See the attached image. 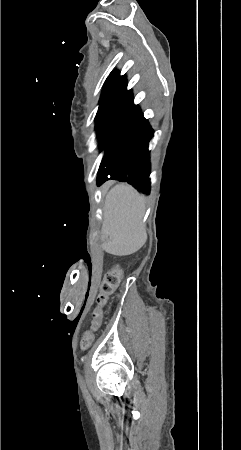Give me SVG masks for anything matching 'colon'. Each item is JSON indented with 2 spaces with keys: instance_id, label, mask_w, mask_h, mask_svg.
I'll use <instances>...</instances> for the list:
<instances>
[{
  "instance_id": "1",
  "label": "colon",
  "mask_w": 241,
  "mask_h": 450,
  "mask_svg": "<svg viewBox=\"0 0 241 450\" xmlns=\"http://www.w3.org/2000/svg\"><path fill=\"white\" fill-rule=\"evenodd\" d=\"M119 282L120 273L118 270L114 269L106 272L102 280V287L97 302H103V304L106 305L109 297L117 289ZM104 312L105 307L101 303H98L92 313V323L94 326L102 325ZM92 342L93 334L91 332H86L82 339V347L87 349L92 345Z\"/></svg>"
}]
</instances>
